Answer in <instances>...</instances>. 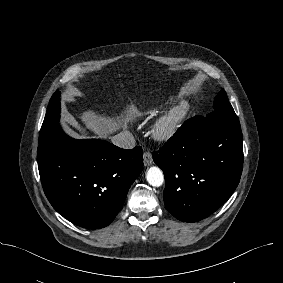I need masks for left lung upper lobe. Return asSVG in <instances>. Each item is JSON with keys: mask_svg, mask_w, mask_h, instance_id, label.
Returning <instances> with one entry per match:
<instances>
[{"mask_svg": "<svg viewBox=\"0 0 283 283\" xmlns=\"http://www.w3.org/2000/svg\"><path fill=\"white\" fill-rule=\"evenodd\" d=\"M214 110H233L224 89H222L214 99Z\"/></svg>", "mask_w": 283, "mask_h": 283, "instance_id": "5c2ea615", "label": "left lung upper lobe"}]
</instances>
